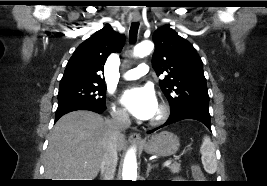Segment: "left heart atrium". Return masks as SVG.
Returning <instances> with one entry per match:
<instances>
[{
  "mask_svg": "<svg viewBox=\"0 0 267 186\" xmlns=\"http://www.w3.org/2000/svg\"><path fill=\"white\" fill-rule=\"evenodd\" d=\"M121 102L130 114L140 120L151 119L158 108L156 95L149 87L126 90L121 96Z\"/></svg>",
  "mask_w": 267,
  "mask_h": 186,
  "instance_id": "39dd6f15",
  "label": "left heart atrium"
}]
</instances>
